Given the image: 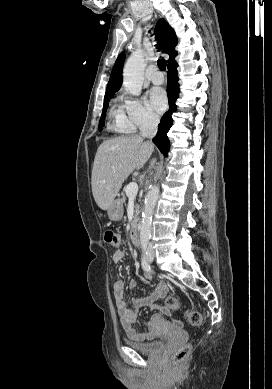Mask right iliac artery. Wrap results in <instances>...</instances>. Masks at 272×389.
<instances>
[{"instance_id": "82829eb1", "label": "right iliac artery", "mask_w": 272, "mask_h": 389, "mask_svg": "<svg viewBox=\"0 0 272 389\" xmlns=\"http://www.w3.org/2000/svg\"><path fill=\"white\" fill-rule=\"evenodd\" d=\"M146 247H147V243L145 242L142 244L143 256H142L141 265H142V268L144 271H146L147 273H151V267H150L148 260L146 259V256H145Z\"/></svg>"}]
</instances>
